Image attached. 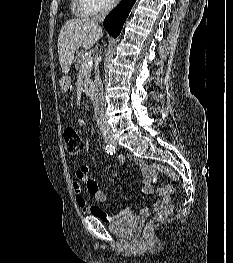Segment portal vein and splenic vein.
Listing matches in <instances>:
<instances>
[{
	"mask_svg": "<svg viewBox=\"0 0 233 263\" xmlns=\"http://www.w3.org/2000/svg\"><path fill=\"white\" fill-rule=\"evenodd\" d=\"M92 63H93V59L91 57H87L82 65V68H89L92 66Z\"/></svg>",
	"mask_w": 233,
	"mask_h": 263,
	"instance_id": "portal-vein-and-splenic-vein-1",
	"label": "portal vein and splenic vein"
}]
</instances>
